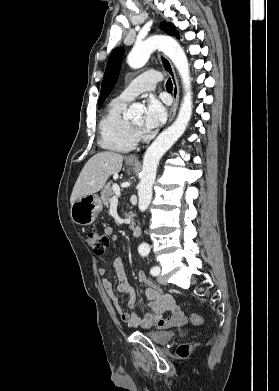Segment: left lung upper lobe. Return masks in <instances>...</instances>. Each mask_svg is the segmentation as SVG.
Returning <instances> with one entry per match:
<instances>
[{"label":"left lung upper lobe","mask_w":279,"mask_h":391,"mask_svg":"<svg viewBox=\"0 0 279 391\" xmlns=\"http://www.w3.org/2000/svg\"><path fill=\"white\" fill-rule=\"evenodd\" d=\"M161 28L169 35H175L176 37H178V32L173 24L163 22L161 23ZM123 52V48H116L109 57L102 81L101 93L99 97V106L103 104L105 98L109 95L118 79Z\"/></svg>","instance_id":"1"}]
</instances>
